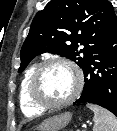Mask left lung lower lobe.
I'll list each match as a JSON object with an SVG mask.
<instances>
[{"label": "left lung lower lobe", "instance_id": "obj_1", "mask_svg": "<svg viewBox=\"0 0 117 131\" xmlns=\"http://www.w3.org/2000/svg\"><path fill=\"white\" fill-rule=\"evenodd\" d=\"M84 72L82 95L74 103L102 106L117 116V17L112 10L101 44Z\"/></svg>", "mask_w": 117, "mask_h": 131}]
</instances>
